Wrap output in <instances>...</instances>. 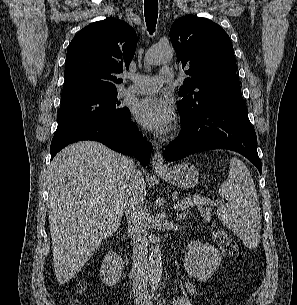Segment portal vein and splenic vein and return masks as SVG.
I'll use <instances>...</instances> for the list:
<instances>
[{"mask_svg": "<svg viewBox=\"0 0 297 305\" xmlns=\"http://www.w3.org/2000/svg\"><path fill=\"white\" fill-rule=\"evenodd\" d=\"M192 202H193L192 197H188V198H186V200L184 199V200H181L180 202H178V203L176 204V207H177V208H182V206H183L184 204H186V203L192 204Z\"/></svg>", "mask_w": 297, "mask_h": 305, "instance_id": "obj_1", "label": "portal vein and splenic vein"}]
</instances>
